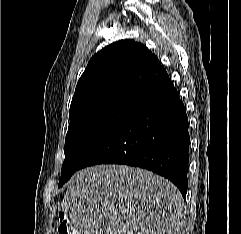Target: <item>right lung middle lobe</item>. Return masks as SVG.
<instances>
[{
	"instance_id": "dd1d6c3e",
	"label": "right lung middle lobe",
	"mask_w": 241,
	"mask_h": 234,
	"mask_svg": "<svg viewBox=\"0 0 241 234\" xmlns=\"http://www.w3.org/2000/svg\"><path fill=\"white\" fill-rule=\"evenodd\" d=\"M135 106L125 101H109L89 105L69 113V127L65 139V160L58 187L80 169L89 151Z\"/></svg>"
}]
</instances>
